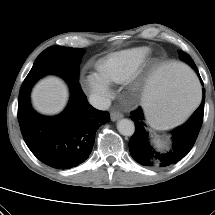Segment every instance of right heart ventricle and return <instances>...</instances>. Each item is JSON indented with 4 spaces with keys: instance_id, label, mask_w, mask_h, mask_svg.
<instances>
[{
    "instance_id": "obj_1",
    "label": "right heart ventricle",
    "mask_w": 215,
    "mask_h": 215,
    "mask_svg": "<svg viewBox=\"0 0 215 215\" xmlns=\"http://www.w3.org/2000/svg\"><path fill=\"white\" fill-rule=\"evenodd\" d=\"M149 55L150 50L146 47L120 50L100 59L96 68L108 82L123 83L147 61Z\"/></svg>"
}]
</instances>
